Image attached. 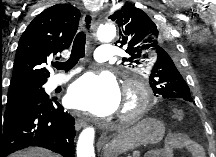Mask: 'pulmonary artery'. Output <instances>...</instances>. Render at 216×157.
<instances>
[{
    "mask_svg": "<svg viewBox=\"0 0 216 157\" xmlns=\"http://www.w3.org/2000/svg\"><path fill=\"white\" fill-rule=\"evenodd\" d=\"M112 47L110 45L99 46L94 52V58L99 62H106L113 57ZM75 72L66 75H56L49 81L51 89L65 83Z\"/></svg>",
    "mask_w": 216,
    "mask_h": 157,
    "instance_id": "e3ab8cb5",
    "label": "pulmonary artery"
}]
</instances>
